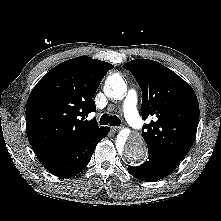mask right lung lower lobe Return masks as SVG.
<instances>
[{
    "instance_id": "1",
    "label": "right lung lower lobe",
    "mask_w": 221,
    "mask_h": 221,
    "mask_svg": "<svg viewBox=\"0 0 221 221\" xmlns=\"http://www.w3.org/2000/svg\"><path fill=\"white\" fill-rule=\"evenodd\" d=\"M107 134L108 128H104L98 134L40 161L55 176L62 178L73 177L88 165L96 145Z\"/></svg>"
}]
</instances>
